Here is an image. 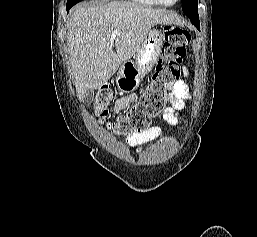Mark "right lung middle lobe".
Returning a JSON list of instances; mask_svg holds the SVG:
<instances>
[{
  "instance_id": "right-lung-middle-lobe-1",
  "label": "right lung middle lobe",
  "mask_w": 257,
  "mask_h": 237,
  "mask_svg": "<svg viewBox=\"0 0 257 237\" xmlns=\"http://www.w3.org/2000/svg\"><path fill=\"white\" fill-rule=\"evenodd\" d=\"M80 1H82V0H68L67 1V8L68 7H72V6H74L75 4H77L78 2H80Z\"/></svg>"
}]
</instances>
